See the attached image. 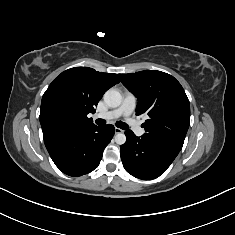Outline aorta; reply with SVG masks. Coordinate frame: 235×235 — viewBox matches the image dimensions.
I'll list each match as a JSON object with an SVG mask.
<instances>
[{
    "label": "aorta",
    "instance_id": "1",
    "mask_svg": "<svg viewBox=\"0 0 235 235\" xmlns=\"http://www.w3.org/2000/svg\"><path fill=\"white\" fill-rule=\"evenodd\" d=\"M104 102L108 107L116 108L122 103V96L116 89H109L104 94ZM115 142L118 145H123L126 142V136L123 133H118L115 136Z\"/></svg>",
    "mask_w": 235,
    "mask_h": 235
}]
</instances>
